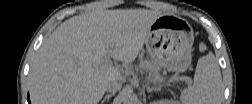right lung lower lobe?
I'll list each match as a JSON object with an SVG mask.
<instances>
[{"label": "right lung lower lobe", "instance_id": "98d812e1", "mask_svg": "<svg viewBox=\"0 0 252 104\" xmlns=\"http://www.w3.org/2000/svg\"><path fill=\"white\" fill-rule=\"evenodd\" d=\"M28 102L30 103V98H29V94H28Z\"/></svg>", "mask_w": 252, "mask_h": 104}]
</instances>
